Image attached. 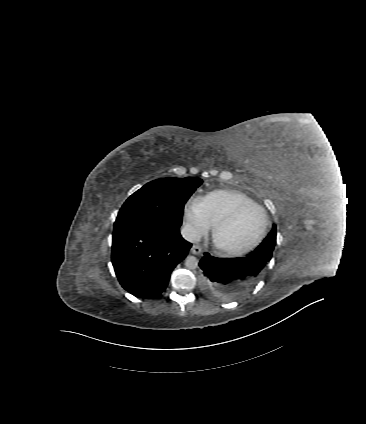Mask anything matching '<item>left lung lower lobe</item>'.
Here are the masks:
<instances>
[{
  "mask_svg": "<svg viewBox=\"0 0 366 424\" xmlns=\"http://www.w3.org/2000/svg\"><path fill=\"white\" fill-rule=\"evenodd\" d=\"M268 262L252 253L245 257L216 258L208 253L199 262L202 269L201 286L211 297L229 301L241 294L245 287L254 285Z\"/></svg>",
  "mask_w": 366,
  "mask_h": 424,
  "instance_id": "left-lung-lower-lobe-1",
  "label": "left lung lower lobe"
}]
</instances>
